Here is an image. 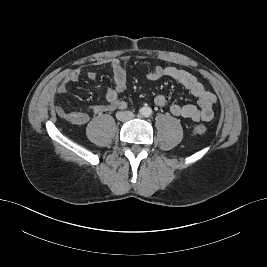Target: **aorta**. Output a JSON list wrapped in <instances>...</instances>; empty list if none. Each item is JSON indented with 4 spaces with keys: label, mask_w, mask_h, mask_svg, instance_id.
<instances>
[{
    "label": "aorta",
    "mask_w": 267,
    "mask_h": 267,
    "mask_svg": "<svg viewBox=\"0 0 267 267\" xmlns=\"http://www.w3.org/2000/svg\"><path fill=\"white\" fill-rule=\"evenodd\" d=\"M140 113L144 117H149L152 114V109L150 107H143L140 109Z\"/></svg>",
    "instance_id": "aorta-1"
}]
</instances>
